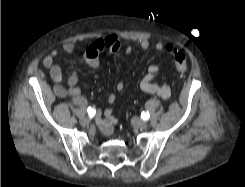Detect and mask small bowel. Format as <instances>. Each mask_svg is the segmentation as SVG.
<instances>
[{
  "instance_id": "1",
  "label": "small bowel",
  "mask_w": 245,
  "mask_h": 187,
  "mask_svg": "<svg viewBox=\"0 0 245 187\" xmlns=\"http://www.w3.org/2000/svg\"><path fill=\"white\" fill-rule=\"evenodd\" d=\"M150 43L147 39H142L140 41V47L142 50H147ZM63 51L67 54H71L75 50V45L72 42H66L63 45ZM121 49V44L119 40L113 36L109 35L103 38H99L93 43H91L83 53V60L92 68H98L100 65L99 56L102 51L108 50L111 52H118ZM156 51H162L166 49V45L162 41H158L154 45ZM127 53L132 51L130 46L125 48ZM58 51L52 50L44 59L43 66L49 70L50 77L55 83L53 90L58 97H78L81 93V88L79 85L78 75L75 70H72L67 79V85L61 84L63 80V73L61 67L55 62L58 57ZM160 72V67L158 65H150L148 68V73L140 82V89L147 94H154L163 99H168L171 96V89L167 84H158L155 82V78ZM124 83L118 82L116 85L117 91L121 92L124 90ZM116 100V96L111 94L109 96V102L113 103ZM117 123V118L113 111L109 108L104 109L99 118V125L103 133L110 136L114 132V125Z\"/></svg>"
}]
</instances>
